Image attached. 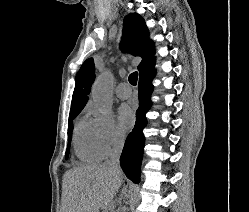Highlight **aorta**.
Instances as JSON below:
<instances>
[{
  "instance_id": "1",
  "label": "aorta",
  "mask_w": 249,
  "mask_h": 212,
  "mask_svg": "<svg viewBox=\"0 0 249 212\" xmlns=\"http://www.w3.org/2000/svg\"><path fill=\"white\" fill-rule=\"evenodd\" d=\"M113 76L110 72L101 73L92 87L93 101L102 114H108L113 105L112 96Z\"/></svg>"
}]
</instances>
